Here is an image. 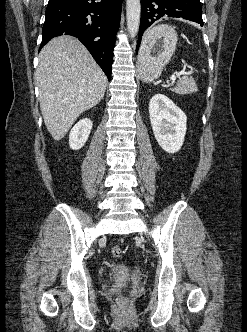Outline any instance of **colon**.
I'll return each instance as SVG.
<instances>
[{
	"label": "colon",
	"instance_id": "obj_1",
	"mask_svg": "<svg viewBox=\"0 0 247 332\" xmlns=\"http://www.w3.org/2000/svg\"><path fill=\"white\" fill-rule=\"evenodd\" d=\"M111 253H112L113 257L120 258L123 254V249L120 246L115 245L112 247ZM121 300H124V299L122 298Z\"/></svg>",
	"mask_w": 247,
	"mask_h": 332
}]
</instances>
